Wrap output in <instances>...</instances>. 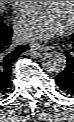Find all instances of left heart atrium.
<instances>
[{
    "mask_svg": "<svg viewBox=\"0 0 74 122\" xmlns=\"http://www.w3.org/2000/svg\"><path fill=\"white\" fill-rule=\"evenodd\" d=\"M65 21L51 5L44 4L27 11L17 22V35L22 40H42L62 33Z\"/></svg>",
    "mask_w": 74,
    "mask_h": 122,
    "instance_id": "left-heart-atrium-1",
    "label": "left heart atrium"
}]
</instances>
